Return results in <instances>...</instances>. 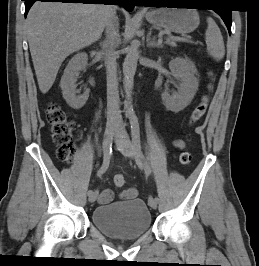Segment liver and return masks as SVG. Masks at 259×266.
I'll return each mask as SVG.
<instances>
[{
	"label": "liver",
	"instance_id": "obj_1",
	"mask_svg": "<svg viewBox=\"0 0 259 266\" xmlns=\"http://www.w3.org/2000/svg\"><path fill=\"white\" fill-rule=\"evenodd\" d=\"M111 8L103 4L34 3L27 16L26 30L43 94L52 87L67 56L100 38Z\"/></svg>",
	"mask_w": 259,
	"mask_h": 266
}]
</instances>
